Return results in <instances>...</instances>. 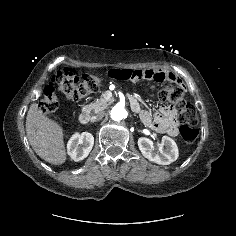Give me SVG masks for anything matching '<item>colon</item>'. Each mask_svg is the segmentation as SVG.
Segmentation results:
<instances>
[{"label": "colon", "mask_w": 236, "mask_h": 236, "mask_svg": "<svg viewBox=\"0 0 236 236\" xmlns=\"http://www.w3.org/2000/svg\"><path fill=\"white\" fill-rule=\"evenodd\" d=\"M121 70V69H119ZM101 78L94 74H78L71 68L57 71L51 82L45 86L39 108L42 113L51 115L58 109L56 87L63 95L72 101H79L89 94L99 90ZM161 102H168L178 109V117L184 123L180 128L182 139L190 144L198 137V130L195 128L198 116L195 107L191 103H182L184 90L178 84H167L156 92Z\"/></svg>", "instance_id": "5ec220e1"}]
</instances>
